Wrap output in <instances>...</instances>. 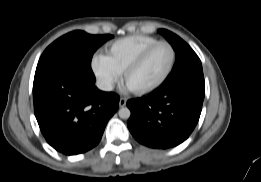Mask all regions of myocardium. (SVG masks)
Masks as SVG:
<instances>
[{
	"label": "myocardium",
	"mask_w": 261,
	"mask_h": 182,
	"mask_svg": "<svg viewBox=\"0 0 261 182\" xmlns=\"http://www.w3.org/2000/svg\"><path fill=\"white\" fill-rule=\"evenodd\" d=\"M160 46H167L172 53V57H171V61L170 64L168 66V69L166 70V72L164 73V75L154 84L142 88V89H131L127 86V79L128 77L134 72L136 71L138 68H140L143 63L147 60V58L152 54L153 51H155L158 47ZM176 50L175 48L172 46V44H170L169 42L166 41H160L154 45H152L151 47H149L148 49H146L144 52H142L124 71H123V83L130 89L131 92H133L136 95H145L148 94L150 92H153L155 90H157L158 88H160L170 77L175 63H176Z\"/></svg>",
	"instance_id": "f54148a6"
}]
</instances>
